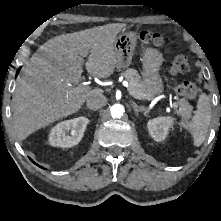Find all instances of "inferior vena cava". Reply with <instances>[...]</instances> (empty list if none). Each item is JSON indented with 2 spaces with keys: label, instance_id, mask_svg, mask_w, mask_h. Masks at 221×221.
Returning <instances> with one entry per match:
<instances>
[{
  "label": "inferior vena cava",
  "instance_id": "602c4592",
  "mask_svg": "<svg viewBox=\"0 0 221 221\" xmlns=\"http://www.w3.org/2000/svg\"><path fill=\"white\" fill-rule=\"evenodd\" d=\"M107 103V99L104 95H94L89 97L86 101V105L91 110L101 109Z\"/></svg>",
  "mask_w": 221,
  "mask_h": 221
}]
</instances>
